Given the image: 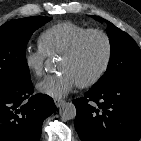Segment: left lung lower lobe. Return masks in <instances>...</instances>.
I'll return each instance as SVG.
<instances>
[{
	"label": "left lung lower lobe",
	"instance_id": "0a47b994",
	"mask_svg": "<svg viewBox=\"0 0 141 141\" xmlns=\"http://www.w3.org/2000/svg\"><path fill=\"white\" fill-rule=\"evenodd\" d=\"M73 103L77 109L75 128L82 141L140 139L141 79L91 88Z\"/></svg>",
	"mask_w": 141,
	"mask_h": 141
}]
</instances>
